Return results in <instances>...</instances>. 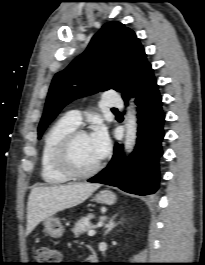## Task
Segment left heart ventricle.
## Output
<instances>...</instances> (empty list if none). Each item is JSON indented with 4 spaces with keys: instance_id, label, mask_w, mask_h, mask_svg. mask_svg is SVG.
<instances>
[{
    "instance_id": "1",
    "label": "left heart ventricle",
    "mask_w": 205,
    "mask_h": 265,
    "mask_svg": "<svg viewBox=\"0 0 205 265\" xmlns=\"http://www.w3.org/2000/svg\"><path fill=\"white\" fill-rule=\"evenodd\" d=\"M71 161L79 171L89 170L99 162L89 135L81 136L74 142L71 150Z\"/></svg>"
}]
</instances>
